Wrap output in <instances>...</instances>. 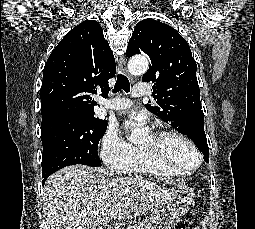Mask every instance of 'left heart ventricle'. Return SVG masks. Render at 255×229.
<instances>
[{
  "label": "left heart ventricle",
  "mask_w": 255,
  "mask_h": 229,
  "mask_svg": "<svg viewBox=\"0 0 255 229\" xmlns=\"http://www.w3.org/2000/svg\"><path fill=\"white\" fill-rule=\"evenodd\" d=\"M139 147L156 154L164 163L176 169L194 166L197 155L190 145L178 137L157 138L153 134L145 137Z\"/></svg>",
  "instance_id": "left-heart-ventricle-1"
}]
</instances>
